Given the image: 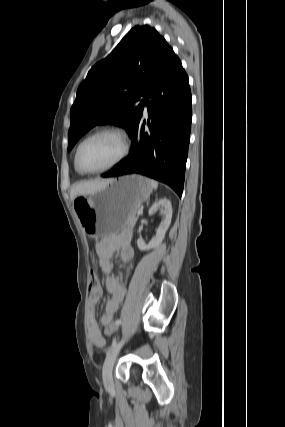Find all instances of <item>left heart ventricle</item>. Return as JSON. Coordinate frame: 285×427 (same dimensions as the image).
Listing matches in <instances>:
<instances>
[{
    "mask_svg": "<svg viewBox=\"0 0 285 427\" xmlns=\"http://www.w3.org/2000/svg\"><path fill=\"white\" fill-rule=\"evenodd\" d=\"M122 140L114 134H102L88 141L80 153V164L96 170L112 163L122 151Z\"/></svg>",
    "mask_w": 285,
    "mask_h": 427,
    "instance_id": "left-heart-ventricle-1",
    "label": "left heart ventricle"
}]
</instances>
